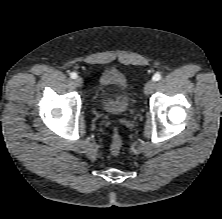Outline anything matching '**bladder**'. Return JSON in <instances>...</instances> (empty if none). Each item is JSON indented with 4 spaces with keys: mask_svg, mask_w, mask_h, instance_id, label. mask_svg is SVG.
Masks as SVG:
<instances>
[{
    "mask_svg": "<svg viewBox=\"0 0 222 219\" xmlns=\"http://www.w3.org/2000/svg\"><path fill=\"white\" fill-rule=\"evenodd\" d=\"M98 88L100 91V103L105 111L115 115H124L129 111L128 82L122 72L114 68L103 70L98 78ZM108 88L116 90L114 96H110L106 92Z\"/></svg>",
    "mask_w": 222,
    "mask_h": 219,
    "instance_id": "obj_1",
    "label": "bladder"
}]
</instances>
